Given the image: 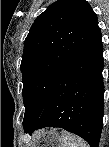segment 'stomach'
Masks as SVG:
<instances>
[{"instance_id": "stomach-1", "label": "stomach", "mask_w": 109, "mask_h": 147, "mask_svg": "<svg viewBox=\"0 0 109 147\" xmlns=\"http://www.w3.org/2000/svg\"><path fill=\"white\" fill-rule=\"evenodd\" d=\"M63 132L57 129L42 130L33 136L27 147H63Z\"/></svg>"}]
</instances>
